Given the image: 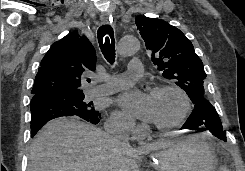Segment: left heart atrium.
Segmentation results:
<instances>
[{
  "label": "left heart atrium",
  "mask_w": 245,
  "mask_h": 171,
  "mask_svg": "<svg viewBox=\"0 0 245 171\" xmlns=\"http://www.w3.org/2000/svg\"><path fill=\"white\" fill-rule=\"evenodd\" d=\"M118 105L130 116L153 122L154 111L151 95L139 90L126 92L117 99Z\"/></svg>",
  "instance_id": "39dd6f15"
}]
</instances>
